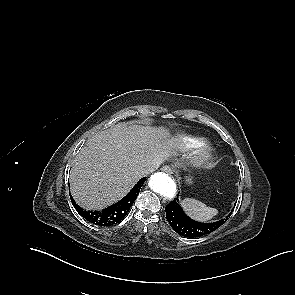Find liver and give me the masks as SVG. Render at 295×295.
Here are the masks:
<instances>
[{
  "label": "liver",
  "mask_w": 295,
  "mask_h": 295,
  "mask_svg": "<svg viewBox=\"0 0 295 295\" xmlns=\"http://www.w3.org/2000/svg\"><path fill=\"white\" fill-rule=\"evenodd\" d=\"M176 144L164 128L118 123L88 139L70 173L71 193L89 210H101L123 198L144 176L175 154Z\"/></svg>",
  "instance_id": "liver-1"
}]
</instances>
